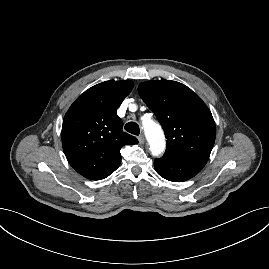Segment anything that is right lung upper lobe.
I'll return each mask as SVG.
<instances>
[{
  "mask_svg": "<svg viewBox=\"0 0 269 269\" xmlns=\"http://www.w3.org/2000/svg\"><path fill=\"white\" fill-rule=\"evenodd\" d=\"M133 82L105 81L83 94L68 109L62 125V145L70 165L82 176L101 180L120 165V149L137 144L122 131L117 109L131 92Z\"/></svg>",
  "mask_w": 269,
  "mask_h": 269,
  "instance_id": "1",
  "label": "right lung upper lobe"
}]
</instances>
